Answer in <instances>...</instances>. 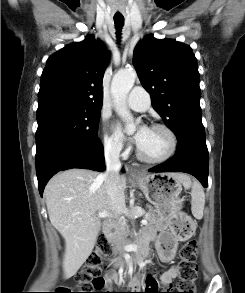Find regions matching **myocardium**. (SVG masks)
Here are the masks:
<instances>
[{
	"mask_svg": "<svg viewBox=\"0 0 245 293\" xmlns=\"http://www.w3.org/2000/svg\"><path fill=\"white\" fill-rule=\"evenodd\" d=\"M151 129L162 130L168 135L169 141H170L169 149L161 157L150 158V157L145 156L142 153V151L140 150V148L138 147L137 148V157L139 160L146 162V163H149V164L163 163V162L169 160L170 158H172L174 156V154L176 153L177 146H178L177 136H176L175 132L170 127H168L167 125H164V124H154L151 126Z\"/></svg>",
	"mask_w": 245,
	"mask_h": 293,
	"instance_id": "obj_1",
	"label": "myocardium"
}]
</instances>
